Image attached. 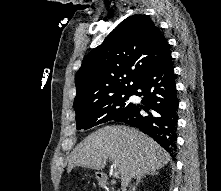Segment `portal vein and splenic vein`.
<instances>
[{"instance_id": "18ae733b", "label": "portal vein and splenic vein", "mask_w": 221, "mask_h": 191, "mask_svg": "<svg viewBox=\"0 0 221 191\" xmlns=\"http://www.w3.org/2000/svg\"><path fill=\"white\" fill-rule=\"evenodd\" d=\"M110 159V158H109ZM110 160H112V159H110ZM112 166L115 168V173H114V176L115 177H118V171H117V164H116V162L113 160V163H112Z\"/></svg>"}]
</instances>
